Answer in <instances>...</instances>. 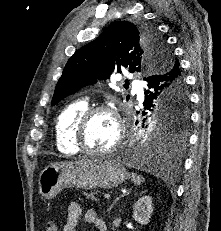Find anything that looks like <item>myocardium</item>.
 <instances>
[{
  "instance_id": "f54148a6",
  "label": "myocardium",
  "mask_w": 221,
  "mask_h": 231,
  "mask_svg": "<svg viewBox=\"0 0 221 231\" xmlns=\"http://www.w3.org/2000/svg\"><path fill=\"white\" fill-rule=\"evenodd\" d=\"M99 113L109 114L117 128V139L115 143L108 149L102 151H96L89 149L86 143V130L89 121L93 116ZM125 137V126L121 119L118 109L110 105H97L87 108L78 118L75 125V138L74 142L80 151L91 156H107L118 150Z\"/></svg>"
}]
</instances>
